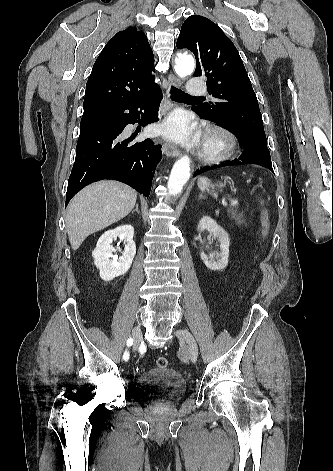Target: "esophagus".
<instances>
[{"mask_svg": "<svg viewBox=\"0 0 333 471\" xmlns=\"http://www.w3.org/2000/svg\"><path fill=\"white\" fill-rule=\"evenodd\" d=\"M168 83L169 86L179 87L181 82L178 77L173 74H169L168 76ZM163 151L167 157H178L181 155V151L173 144L169 142H165L163 145Z\"/></svg>", "mask_w": 333, "mask_h": 471, "instance_id": "34e87169", "label": "esophagus"}]
</instances>
